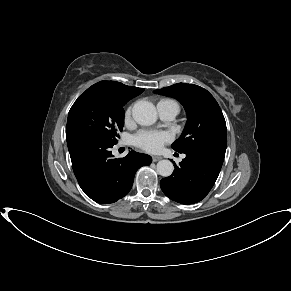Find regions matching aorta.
<instances>
[{
    "mask_svg": "<svg viewBox=\"0 0 291 291\" xmlns=\"http://www.w3.org/2000/svg\"><path fill=\"white\" fill-rule=\"evenodd\" d=\"M133 119L140 125L149 126L156 122L157 111L155 106L148 101H137L132 108ZM174 170L170 160H160L157 163V172L163 177H168Z\"/></svg>",
    "mask_w": 291,
    "mask_h": 291,
    "instance_id": "762f6f07",
    "label": "aorta"
}]
</instances>
